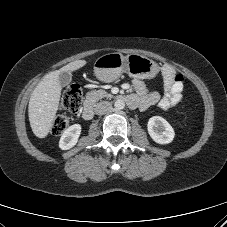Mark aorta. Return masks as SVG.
<instances>
[{"mask_svg": "<svg viewBox=\"0 0 227 227\" xmlns=\"http://www.w3.org/2000/svg\"><path fill=\"white\" fill-rule=\"evenodd\" d=\"M114 107L116 110H122L125 107V102L121 99H118L115 101Z\"/></svg>", "mask_w": 227, "mask_h": 227, "instance_id": "obj_1", "label": "aorta"}]
</instances>
